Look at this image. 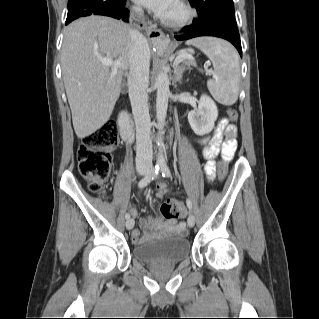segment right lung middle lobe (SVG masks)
<instances>
[{
  "label": "right lung middle lobe",
  "instance_id": "right-lung-middle-lobe-1",
  "mask_svg": "<svg viewBox=\"0 0 319 319\" xmlns=\"http://www.w3.org/2000/svg\"><path fill=\"white\" fill-rule=\"evenodd\" d=\"M121 0H69L66 24L100 10L111 8Z\"/></svg>",
  "mask_w": 319,
  "mask_h": 319
}]
</instances>
